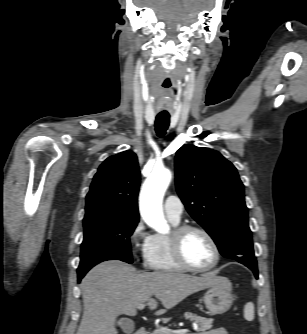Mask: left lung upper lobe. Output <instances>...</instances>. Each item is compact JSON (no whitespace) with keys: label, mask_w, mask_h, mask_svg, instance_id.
<instances>
[{"label":"left lung upper lobe","mask_w":307,"mask_h":334,"mask_svg":"<svg viewBox=\"0 0 307 334\" xmlns=\"http://www.w3.org/2000/svg\"><path fill=\"white\" fill-rule=\"evenodd\" d=\"M175 170L179 197L220 253L257 266L244 185L234 165L218 151L185 145L176 152Z\"/></svg>","instance_id":"left-lung-upper-lobe-1"}]
</instances>
